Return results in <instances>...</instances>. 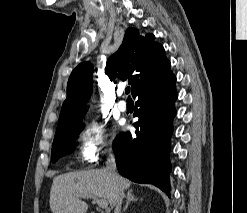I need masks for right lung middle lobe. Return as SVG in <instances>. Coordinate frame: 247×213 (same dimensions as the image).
Here are the masks:
<instances>
[{"mask_svg":"<svg viewBox=\"0 0 247 213\" xmlns=\"http://www.w3.org/2000/svg\"><path fill=\"white\" fill-rule=\"evenodd\" d=\"M83 125L64 128L56 132L52 145V161H57L60 157L73 152L75 140L82 131Z\"/></svg>","mask_w":247,"mask_h":213,"instance_id":"right-lung-middle-lobe-1","label":"right lung middle lobe"}]
</instances>
